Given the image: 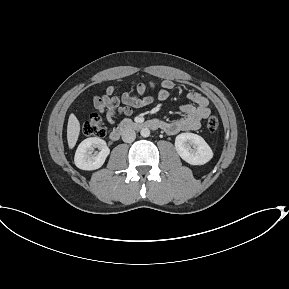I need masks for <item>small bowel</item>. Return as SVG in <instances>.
<instances>
[{"label":"small bowel","instance_id":"obj_1","mask_svg":"<svg viewBox=\"0 0 289 289\" xmlns=\"http://www.w3.org/2000/svg\"><path fill=\"white\" fill-rule=\"evenodd\" d=\"M150 87L155 88V84L150 82ZM175 87L172 80H164L157 93L160 101H165L170 91ZM147 87L143 82H138L136 92H125L119 96L114 87L106 88L105 93L95 96L92 106L100 113H105L107 120L114 123V118L118 114L130 116L134 109L145 107L154 100L152 96H142ZM189 103L181 107L182 118L173 121H159L161 129L169 135H176L184 131H195L201 127L202 121L210 114L209 100L203 94L193 91L188 94Z\"/></svg>","mask_w":289,"mask_h":289}]
</instances>
